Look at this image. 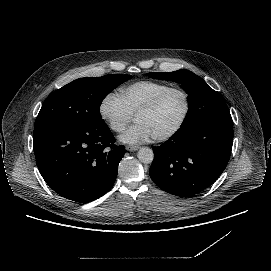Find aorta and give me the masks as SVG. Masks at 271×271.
<instances>
[{"mask_svg":"<svg viewBox=\"0 0 271 271\" xmlns=\"http://www.w3.org/2000/svg\"><path fill=\"white\" fill-rule=\"evenodd\" d=\"M137 157L140 162L144 164H150L154 159V153L152 149L148 147H142L139 149Z\"/></svg>","mask_w":271,"mask_h":271,"instance_id":"1","label":"aorta"}]
</instances>
